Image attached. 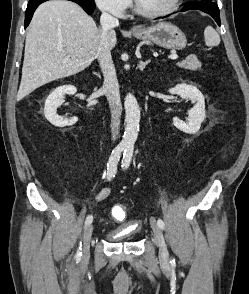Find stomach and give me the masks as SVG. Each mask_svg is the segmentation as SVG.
Segmentation results:
<instances>
[{"label": "stomach", "instance_id": "obj_1", "mask_svg": "<svg viewBox=\"0 0 249 294\" xmlns=\"http://www.w3.org/2000/svg\"><path fill=\"white\" fill-rule=\"evenodd\" d=\"M133 36L139 40L151 41L168 49H183L187 39L185 34L174 24L158 22L150 27L133 31Z\"/></svg>", "mask_w": 249, "mask_h": 294}]
</instances>
